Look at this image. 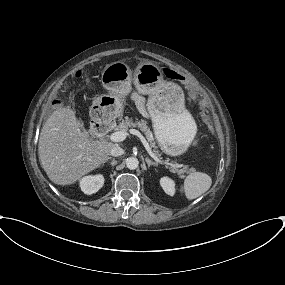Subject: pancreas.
<instances>
[{
  "label": "pancreas",
  "instance_id": "cf45deb5",
  "mask_svg": "<svg viewBox=\"0 0 285 285\" xmlns=\"http://www.w3.org/2000/svg\"><path fill=\"white\" fill-rule=\"evenodd\" d=\"M120 123L115 127L118 131H127L129 128H139L142 132H144L147 140L150 142V146L152 148H157L155 142L153 133L150 130V128L147 126V122L144 120L141 121H134L132 118L125 117L124 119H120ZM156 155L160 156L159 152L157 150L154 151ZM169 165L170 171L173 173H177L180 178H184L185 173H189L191 170L189 169V166L182 165V164H172L167 163Z\"/></svg>",
  "mask_w": 285,
  "mask_h": 285
}]
</instances>
